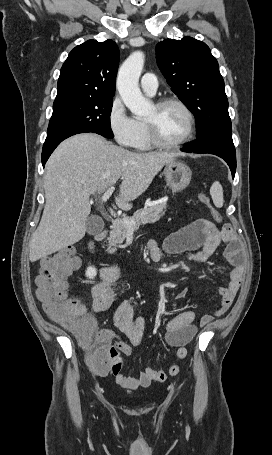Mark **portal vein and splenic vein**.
I'll list each match as a JSON object with an SVG mask.
<instances>
[{
	"label": "portal vein and splenic vein",
	"instance_id": "obj_1",
	"mask_svg": "<svg viewBox=\"0 0 272 455\" xmlns=\"http://www.w3.org/2000/svg\"><path fill=\"white\" fill-rule=\"evenodd\" d=\"M114 187L111 186L107 189V191L103 194L102 196V202H107V200L109 199V197L112 195L113 191H114ZM109 212L112 216L116 217V213L110 208L109 209ZM119 222H122L127 228H131L132 225L134 224V221L132 220H127L126 218H123V219H120Z\"/></svg>",
	"mask_w": 272,
	"mask_h": 455
}]
</instances>
